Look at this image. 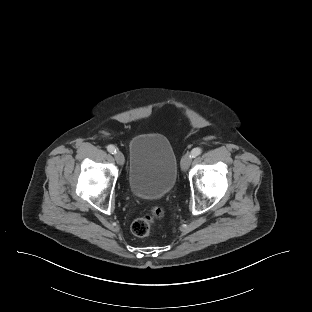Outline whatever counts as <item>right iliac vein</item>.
I'll list each match as a JSON object with an SVG mask.
<instances>
[{
    "label": "right iliac vein",
    "mask_w": 312,
    "mask_h": 312,
    "mask_svg": "<svg viewBox=\"0 0 312 312\" xmlns=\"http://www.w3.org/2000/svg\"><path fill=\"white\" fill-rule=\"evenodd\" d=\"M114 157H115V160L117 161V163L119 165H123L124 164L125 158H124V155L120 151H117L114 154Z\"/></svg>",
    "instance_id": "1"
}]
</instances>
